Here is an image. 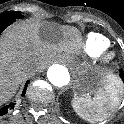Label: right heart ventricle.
<instances>
[{
    "label": "right heart ventricle",
    "instance_id": "right-heart-ventricle-1",
    "mask_svg": "<svg viewBox=\"0 0 124 124\" xmlns=\"http://www.w3.org/2000/svg\"><path fill=\"white\" fill-rule=\"evenodd\" d=\"M110 46V40L103 34L90 32L80 42L82 53L89 58H96Z\"/></svg>",
    "mask_w": 124,
    "mask_h": 124
}]
</instances>
